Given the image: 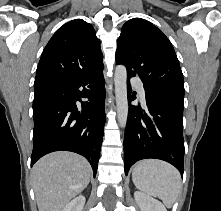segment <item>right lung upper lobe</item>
Instances as JSON below:
<instances>
[{"label":"right lung upper lobe","mask_w":221,"mask_h":211,"mask_svg":"<svg viewBox=\"0 0 221 211\" xmlns=\"http://www.w3.org/2000/svg\"><path fill=\"white\" fill-rule=\"evenodd\" d=\"M100 41L91 24L75 19L64 24L42 52L34 91L93 74L104 68Z\"/></svg>","instance_id":"cb5924a9"}]
</instances>
